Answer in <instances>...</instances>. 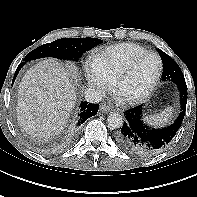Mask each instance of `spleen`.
<instances>
[{
	"mask_svg": "<svg viewBox=\"0 0 197 197\" xmlns=\"http://www.w3.org/2000/svg\"><path fill=\"white\" fill-rule=\"evenodd\" d=\"M172 111L173 110L171 107H167L165 110H163L160 113L145 117L144 121L148 125L153 126L155 128L162 127L170 121L172 117Z\"/></svg>",
	"mask_w": 197,
	"mask_h": 197,
	"instance_id": "obj_1",
	"label": "spleen"
}]
</instances>
